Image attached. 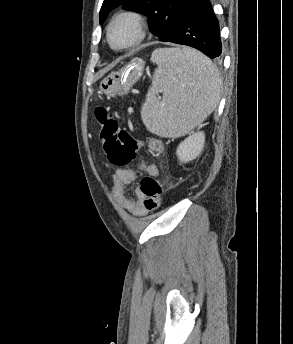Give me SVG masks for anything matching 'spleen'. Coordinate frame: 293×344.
I'll use <instances>...</instances> for the list:
<instances>
[{"label": "spleen", "instance_id": "obj_1", "mask_svg": "<svg viewBox=\"0 0 293 344\" xmlns=\"http://www.w3.org/2000/svg\"><path fill=\"white\" fill-rule=\"evenodd\" d=\"M158 65L141 108L146 128L162 137L183 136L217 107L222 81L218 70L191 48H160L151 56ZM163 93L160 100L156 97Z\"/></svg>", "mask_w": 293, "mask_h": 344}]
</instances>
